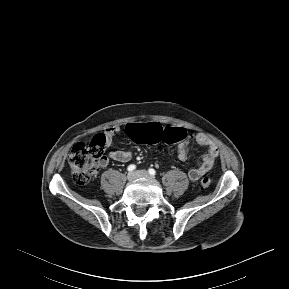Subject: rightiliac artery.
<instances>
[{"instance_id":"right-iliac-artery-1","label":"right iliac artery","mask_w":289,"mask_h":289,"mask_svg":"<svg viewBox=\"0 0 289 289\" xmlns=\"http://www.w3.org/2000/svg\"><path fill=\"white\" fill-rule=\"evenodd\" d=\"M135 169H136V166H135L134 164L129 165L128 168H127V170H128L129 172H132V171H134Z\"/></svg>"}]
</instances>
